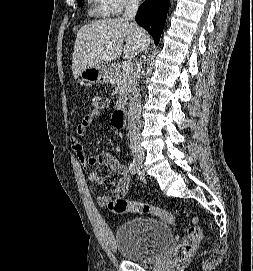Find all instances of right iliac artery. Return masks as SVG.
Here are the masks:
<instances>
[{
    "label": "right iliac artery",
    "instance_id": "82829eb1",
    "mask_svg": "<svg viewBox=\"0 0 253 271\" xmlns=\"http://www.w3.org/2000/svg\"><path fill=\"white\" fill-rule=\"evenodd\" d=\"M129 170H130L132 175L136 174V172L138 170V167H137V164H136V162L134 160L130 163Z\"/></svg>",
    "mask_w": 253,
    "mask_h": 271
}]
</instances>
